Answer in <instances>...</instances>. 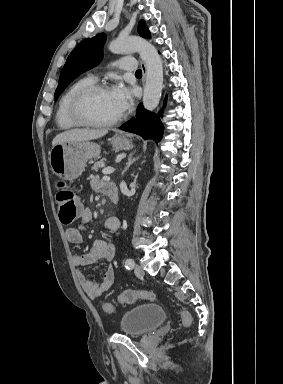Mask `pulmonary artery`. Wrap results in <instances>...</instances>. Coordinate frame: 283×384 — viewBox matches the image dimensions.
<instances>
[{"instance_id": "pulmonary-artery-1", "label": "pulmonary artery", "mask_w": 283, "mask_h": 384, "mask_svg": "<svg viewBox=\"0 0 283 384\" xmlns=\"http://www.w3.org/2000/svg\"><path fill=\"white\" fill-rule=\"evenodd\" d=\"M120 66L121 71H135L136 65L134 61H122L118 64ZM89 78L93 81L97 79L95 75H90Z\"/></svg>"}]
</instances>
